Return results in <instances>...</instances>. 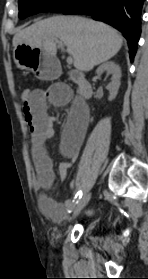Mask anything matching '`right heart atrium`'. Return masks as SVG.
<instances>
[{
	"label": "right heart atrium",
	"instance_id": "d8ad5b80",
	"mask_svg": "<svg viewBox=\"0 0 148 279\" xmlns=\"http://www.w3.org/2000/svg\"><path fill=\"white\" fill-rule=\"evenodd\" d=\"M57 2H58L59 4H65L67 1H66V0H57Z\"/></svg>",
	"mask_w": 148,
	"mask_h": 279
}]
</instances>
